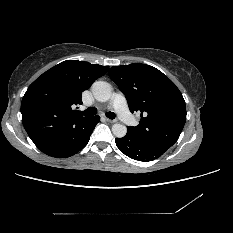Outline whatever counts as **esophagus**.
<instances>
[{
    "mask_svg": "<svg viewBox=\"0 0 233 233\" xmlns=\"http://www.w3.org/2000/svg\"><path fill=\"white\" fill-rule=\"evenodd\" d=\"M105 121L109 122V123H115L116 120H111V119H108V118H105Z\"/></svg>",
    "mask_w": 233,
    "mask_h": 233,
    "instance_id": "obj_1",
    "label": "esophagus"
}]
</instances>
